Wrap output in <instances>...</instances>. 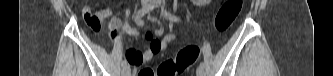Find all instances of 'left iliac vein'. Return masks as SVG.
Here are the masks:
<instances>
[{
  "label": "left iliac vein",
  "mask_w": 333,
  "mask_h": 76,
  "mask_svg": "<svg viewBox=\"0 0 333 76\" xmlns=\"http://www.w3.org/2000/svg\"><path fill=\"white\" fill-rule=\"evenodd\" d=\"M197 76H205L204 68H198L196 71Z\"/></svg>",
  "instance_id": "obj_1"
}]
</instances>
